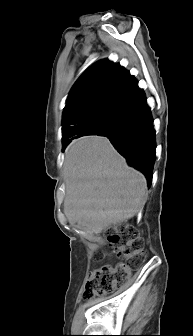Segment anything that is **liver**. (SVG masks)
<instances>
[{
	"mask_svg": "<svg viewBox=\"0 0 193 336\" xmlns=\"http://www.w3.org/2000/svg\"><path fill=\"white\" fill-rule=\"evenodd\" d=\"M64 214L70 224L99 234L135 216L147 198V181L105 137L86 136L65 150Z\"/></svg>",
	"mask_w": 193,
	"mask_h": 336,
	"instance_id": "obj_1",
	"label": "liver"
}]
</instances>
